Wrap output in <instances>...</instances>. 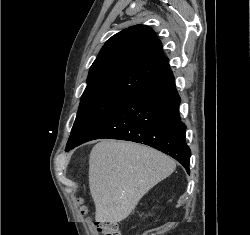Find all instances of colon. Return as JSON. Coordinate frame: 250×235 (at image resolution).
Masks as SVG:
<instances>
[{"label":"colon","mask_w":250,"mask_h":235,"mask_svg":"<svg viewBox=\"0 0 250 235\" xmlns=\"http://www.w3.org/2000/svg\"><path fill=\"white\" fill-rule=\"evenodd\" d=\"M82 213H86V208H81ZM95 226L101 235H121L119 225L115 221L95 222Z\"/></svg>","instance_id":"5ec220e1"}]
</instances>
